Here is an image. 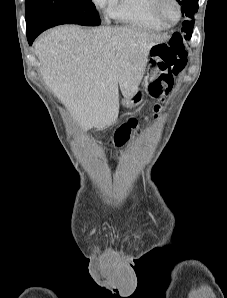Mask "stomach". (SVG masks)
<instances>
[{"instance_id": "stomach-1", "label": "stomach", "mask_w": 227, "mask_h": 298, "mask_svg": "<svg viewBox=\"0 0 227 298\" xmlns=\"http://www.w3.org/2000/svg\"><path fill=\"white\" fill-rule=\"evenodd\" d=\"M159 69L156 64L150 63L147 68V80L152 81L158 76ZM143 91L138 89L132 96L124 97L122 100L123 106L132 108L139 105L143 100Z\"/></svg>"}]
</instances>
